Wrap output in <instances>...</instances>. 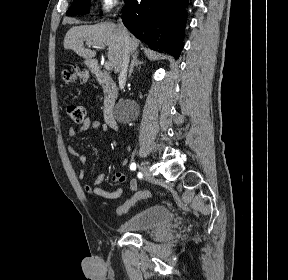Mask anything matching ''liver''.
<instances>
[{
    "label": "liver",
    "instance_id": "obj_1",
    "mask_svg": "<svg viewBox=\"0 0 288 280\" xmlns=\"http://www.w3.org/2000/svg\"><path fill=\"white\" fill-rule=\"evenodd\" d=\"M84 41L100 42L108 46L107 56L109 62L112 64L115 73L121 70L124 43L118 25L103 22L96 25L74 26L65 35L64 49H71L85 59L95 57L96 51L85 48ZM138 46L139 41L129 36L130 52H136Z\"/></svg>",
    "mask_w": 288,
    "mask_h": 280
}]
</instances>
